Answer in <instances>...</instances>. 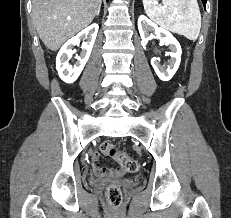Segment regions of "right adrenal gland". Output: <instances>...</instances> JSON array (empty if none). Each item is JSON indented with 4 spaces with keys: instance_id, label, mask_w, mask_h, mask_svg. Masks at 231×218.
<instances>
[{
    "instance_id": "right-adrenal-gland-1",
    "label": "right adrenal gland",
    "mask_w": 231,
    "mask_h": 218,
    "mask_svg": "<svg viewBox=\"0 0 231 218\" xmlns=\"http://www.w3.org/2000/svg\"><path fill=\"white\" fill-rule=\"evenodd\" d=\"M99 13H100V8H99V10H98V12H97L96 16H99Z\"/></svg>"
}]
</instances>
